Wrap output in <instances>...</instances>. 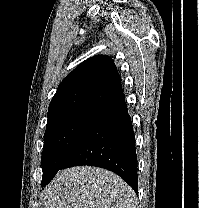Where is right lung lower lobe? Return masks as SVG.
<instances>
[{
	"mask_svg": "<svg viewBox=\"0 0 199 208\" xmlns=\"http://www.w3.org/2000/svg\"><path fill=\"white\" fill-rule=\"evenodd\" d=\"M80 165L108 169L138 193L135 135L123 94L100 108L60 170Z\"/></svg>",
	"mask_w": 199,
	"mask_h": 208,
	"instance_id": "1",
	"label": "right lung lower lobe"
}]
</instances>
